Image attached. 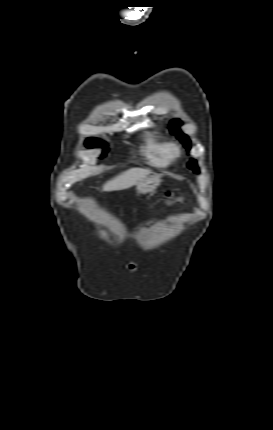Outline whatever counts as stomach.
Wrapping results in <instances>:
<instances>
[{"label":"stomach","mask_w":273,"mask_h":430,"mask_svg":"<svg viewBox=\"0 0 273 430\" xmlns=\"http://www.w3.org/2000/svg\"><path fill=\"white\" fill-rule=\"evenodd\" d=\"M161 183V177L159 174L151 173L144 179L138 182L137 190L140 194H147L153 192Z\"/></svg>","instance_id":"obj_1"}]
</instances>
